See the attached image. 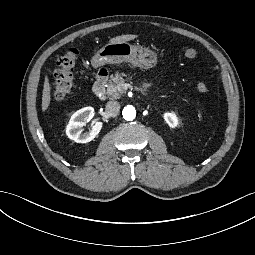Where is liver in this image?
I'll return each mask as SVG.
<instances>
[{
  "mask_svg": "<svg viewBox=\"0 0 255 255\" xmlns=\"http://www.w3.org/2000/svg\"><path fill=\"white\" fill-rule=\"evenodd\" d=\"M139 35L137 34H125V35H120L117 37H114L109 40V44H115V43H121V42H128L135 40L138 38ZM51 85L49 82L48 77H45V82H44V88L42 92V112H46L50 102H51Z\"/></svg>",
  "mask_w": 255,
  "mask_h": 255,
  "instance_id": "1",
  "label": "liver"
}]
</instances>
